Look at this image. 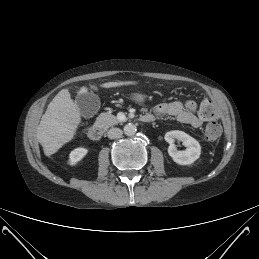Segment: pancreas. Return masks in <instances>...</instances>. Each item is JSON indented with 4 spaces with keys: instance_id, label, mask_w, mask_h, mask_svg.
<instances>
[{
    "instance_id": "obj_1",
    "label": "pancreas",
    "mask_w": 259,
    "mask_h": 259,
    "mask_svg": "<svg viewBox=\"0 0 259 259\" xmlns=\"http://www.w3.org/2000/svg\"><path fill=\"white\" fill-rule=\"evenodd\" d=\"M119 122L120 121L117 119V117L112 115L109 112L101 113L96 119V125L104 128V129L114 126V125L118 124Z\"/></svg>"
}]
</instances>
